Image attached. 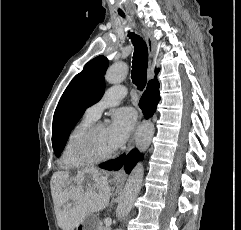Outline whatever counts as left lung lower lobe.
<instances>
[{"label":"left lung lower lobe","instance_id":"left-lung-lower-lobe-1","mask_svg":"<svg viewBox=\"0 0 241 230\" xmlns=\"http://www.w3.org/2000/svg\"><path fill=\"white\" fill-rule=\"evenodd\" d=\"M138 150H132L125 158V154L121 155L115 160H111L105 163L100 164V167L107 170H119L124 166L126 173H130L136 162L139 160Z\"/></svg>","mask_w":241,"mask_h":230}]
</instances>
